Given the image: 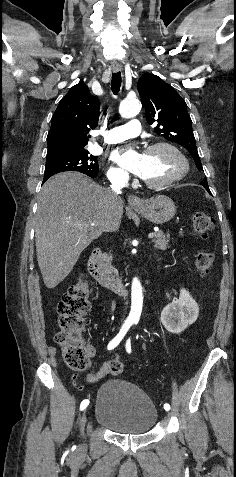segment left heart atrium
<instances>
[{"label":"left heart atrium","instance_id":"obj_1","mask_svg":"<svg viewBox=\"0 0 236 477\" xmlns=\"http://www.w3.org/2000/svg\"><path fill=\"white\" fill-rule=\"evenodd\" d=\"M113 157L124 169L137 176H142L144 169V154L137 152L133 148H127L122 151H116L113 154Z\"/></svg>","mask_w":236,"mask_h":477}]
</instances>
